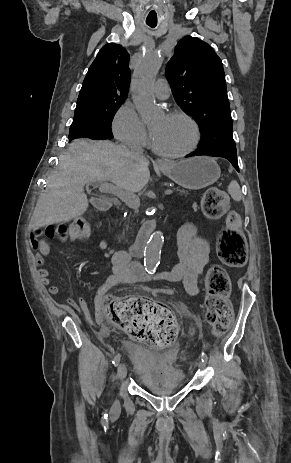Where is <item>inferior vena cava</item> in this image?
Here are the masks:
<instances>
[{
    "mask_svg": "<svg viewBox=\"0 0 291 463\" xmlns=\"http://www.w3.org/2000/svg\"><path fill=\"white\" fill-rule=\"evenodd\" d=\"M130 153H131V154H142V153H143V149H142V147H140V146H134V147H131Z\"/></svg>",
    "mask_w": 291,
    "mask_h": 463,
    "instance_id": "1",
    "label": "inferior vena cava"
}]
</instances>
